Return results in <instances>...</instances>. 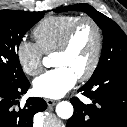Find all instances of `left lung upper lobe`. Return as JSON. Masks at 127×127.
I'll return each mask as SVG.
<instances>
[{
    "label": "left lung upper lobe",
    "mask_w": 127,
    "mask_h": 127,
    "mask_svg": "<svg viewBox=\"0 0 127 127\" xmlns=\"http://www.w3.org/2000/svg\"><path fill=\"white\" fill-rule=\"evenodd\" d=\"M71 10L87 13L103 32L104 39L100 61L91 79L112 68L127 66V37L122 29L110 18L88 4L71 5L55 10V12Z\"/></svg>",
    "instance_id": "1"
}]
</instances>
